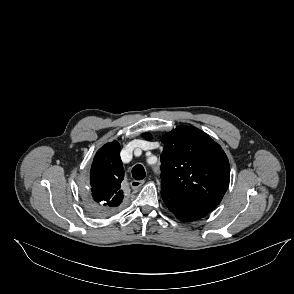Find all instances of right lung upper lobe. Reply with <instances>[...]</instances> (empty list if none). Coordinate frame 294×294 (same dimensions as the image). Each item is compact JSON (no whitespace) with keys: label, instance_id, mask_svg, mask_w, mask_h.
<instances>
[{"label":"right lung upper lobe","instance_id":"obj_1","mask_svg":"<svg viewBox=\"0 0 294 294\" xmlns=\"http://www.w3.org/2000/svg\"><path fill=\"white\" fill-rule=\"evenodd\" d=\"M123 178L120 145L116 141L107 143L96 153L90 171L93 210L96 214L109 215L121 204Z\"/></svg>","mask_w":294,"mask_h":294}]
</instances>
